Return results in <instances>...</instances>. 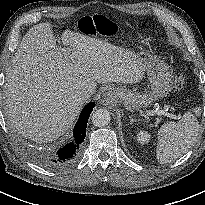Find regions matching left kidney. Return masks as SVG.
Here are the masks:
<instances>
[{"mask_svg":"<svg viewBox=\"0 0 205 205\" xmlns=\"http://www.w3.org/2000/svg\"><path fill=\"white\" fill-rule=\"evenodd\" d=\"M137 140L141 144H145L150 140V134L147 131L141 130L137 133Z\"/></svg>","mask_w":205,"mask_h":205,"instance_id":"1","label":"left kidney"}]
</instances>
